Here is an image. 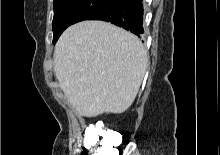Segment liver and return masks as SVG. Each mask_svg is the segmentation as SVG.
Returning <instances> with one entry per match:
<instances>
[{"mask_svg":"<svg viewBox=\"0 0 220 155\" xmlns=\"http://www.w3.org/2000/svg\"><path fill=\"white\" fill-rule=\"evenodd\" d=\"M148 65L141 41L103 21L67 28L54 50L60 88L79 116L122 113L134 102Z\"/></svg>","mask_w":220,"mask_h":155,"instance_id":"1","label":"liver"}]
</instances>
